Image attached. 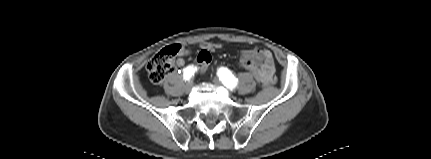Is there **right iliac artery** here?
I'll return each mask as SVG.
<instances>
[{
    "instance_id": "obj_1",
    "label": "right iliac artery",
    "mask_w": 431,
    "mask_h": 159,
    "mask_svg": "<svg viewBox=\"0 0 431 159\" xmlns=\"http://www.w3.org/2000/svg\"><path fill=\"white\" fill-rule=\"evenodd\" d=\"M197 71V67L188 66L183 70V78L185 81H188L194 76V73Z\"/></svg>"
}]
</instances>
